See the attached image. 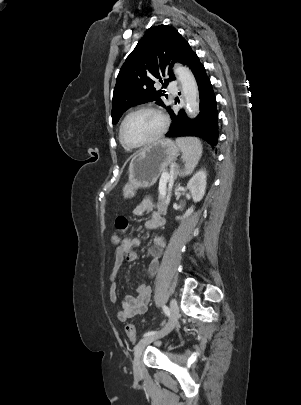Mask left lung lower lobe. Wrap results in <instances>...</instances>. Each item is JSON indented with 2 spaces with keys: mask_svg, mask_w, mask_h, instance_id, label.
I'll list each match as a JSON object with an SVG mask.
<instances>
[{
  "mask_svg": "<svg viewBox=\"0 0 301 405\" xmlns=\"http://www.w3.org/2000/svg\"><path fill=\"white\" fill-rule=\"evenodd\" d=\"M187 65L194 73L199 87L200 113L195 119H189L184 110L178 113L169 110L172 125L166 136L200 137L214 148L218 143V112L212 85L195 52L190 56Z\"/></svg>",
  "mask_w": 301,
  "mask_h": 405,
  "instance_id": "left-lung-lower-lobe-1",
  "label": "left lung lower lobe"
}]
</instances>
